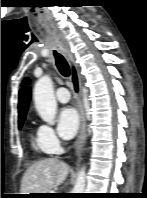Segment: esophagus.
Listing matches in <instances>:
<instances>
[{
    "label": "esophagus",
    "instance_id": "obj_1",
    "mask_svg": "<svg viewBox=\"0 0 147 198\" xmlns=\"http://www.w3.org/2000/svg\"><path fill=\"white\" fill-rule=\"evenodd\" d=\"M62 51L65 57L67 58L71 67V81H72L75 96L78 101V107H79V112H80L81 126H80L79 136L76 141V149H75L76 154H79L83 150L86 139H87V131H86L87 125H86L85 111H84L83 102H82L81 80L79 76V69L72 55L68 51V48L64 46L62 48Z\"/></svg>",
    "mask_w": 147,
    "mask_h": 198
}]
</instances>
